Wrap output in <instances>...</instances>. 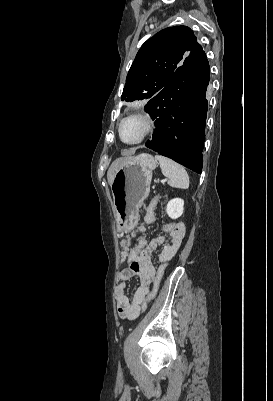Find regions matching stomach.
<instances>
[{
    "instance_id": "1",
    "label": "stomach",
    "mask_w": 273,
    "mask_h": 401,
    "mask_svg": "<svg viewBox=\"0 0 273 401\" xmlns=\"http://www.w3.org/2000/svg\"><path fill=\"white\" fill-rule=\"evenodd\" d=\"M157 162L152 154L127 160L117 170L111 184L118 233H130L138 225L139 209L150 192L152 170Z\"/></svg>"
}]
</instances>
